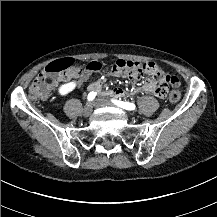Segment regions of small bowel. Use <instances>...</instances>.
I'll return each mask as SVG.
<instances>
[{"instance_id":"small-bowel-1","label":"small bowel","mask_w":217,"mask_h":217,"mask_svg":"<svg viewBox=\"0 0 217 217\" xmlns=\"http://www.w3.org/2000/svg\"><path fill=\"white\" fill-rule=\"evenodd\" d=\"M107 74L108 76L115 77V78L122 77L121 74L115 72H107ZM88 77H89V73L87 72V70L84 68H79L77 69L76 72H73L70 75H61L59 81L65 82L68 79H78V84L81 85L84 82V80H86ZM143 89L158 97H162L165 95V89L161 87L157 88L152 81L146 82L145 85L143 86ZM137 91H139V89L127 90L124 88L116 87L111 90V94L116 97H124L136 93Z\"/></svg>"}]
</instances>
